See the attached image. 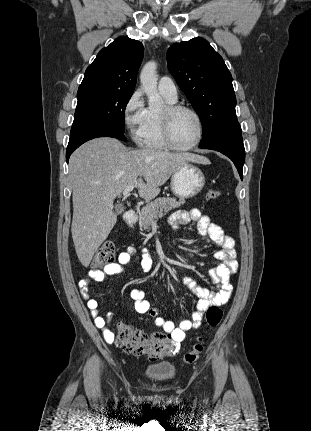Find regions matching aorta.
Returning <instances> with one entry per match:
<instances>
[{
  "instance_id": "obj_1",
  "label": "aorta",
  "mask_w": 311,
  "mask_h": 431,
  "mask_svg": "<svg viewBox=\"0 0 311 431\" xmlns=\"http://www.w3.org/2000/svg\"><path fill=\"white\" fill-rule=\"evenodd\" d=\"M156 70V62H147L140 74L142 90L148 98L149 108H162L163 106L162 98L157 90L158 76Z\"/></svg>"
}]
</instances>
